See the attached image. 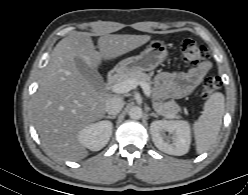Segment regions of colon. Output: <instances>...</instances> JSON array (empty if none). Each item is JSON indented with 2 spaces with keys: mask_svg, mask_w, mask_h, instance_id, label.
Returning a JSON list of instances; mask_svg holds the SVG:
<instances>
[{
  "mask_svg": "<svg viewBox=\"0 0 248 195\" xmlns=\"http://www.w3.org/2000/svg\"><path fill=\"white\" fill-rule=\"evenodd\" d=\"M183 61L188 66H197L210 58L209 50L192 39H184L180 45ZM221 87V80L217 76L207 77L202 85L201 95L208 98Z\"/></svg>",
  "mask_w": 248,
  "mask_h": 195,
  "instance_id": "colon-1",
  "label": "colon"
}]
</instances>
